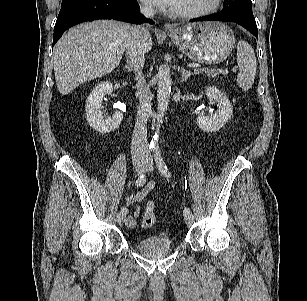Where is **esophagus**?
<instances>
[{"label": "esophagus", "instance_id": "1", "mask_svg": "<svg viewBox=\"0 0 307 301\" xmlns=\"http://www.w3.org/2000/svg\"><path fill=\"white\" fill-rule=\"evenodd\" d=\"M164 30L165 31H172V30H174V27L170 23H165L164 24Z\"/></svg>", "mask_w": 307, "mask_h": 301}]
</instances>
